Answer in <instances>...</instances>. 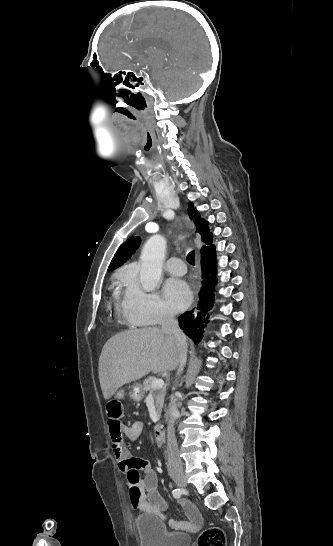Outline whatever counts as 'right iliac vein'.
Returning a JSON list of instances; mask_svg holds the SVG:
<instances>
[{
	"instance_id": "obj_1",
	"label": "right iliac vein",
	"mask_w": 333,
	"mask_h": 546,
	"mask_svg": "<svg viewBox=\"0 0 333 546\" xmlns=\"http://www.w3.org/2000/svg\"><path fill=\"white\" fill-rule=\"evenodd\" d=\"M171 475V478L174 480V482L180 486V487H185L187 484H186V478L184 476V473L180 470H174V471H171L170 473Z\"/></svg>"
}]
</instances>
